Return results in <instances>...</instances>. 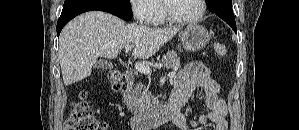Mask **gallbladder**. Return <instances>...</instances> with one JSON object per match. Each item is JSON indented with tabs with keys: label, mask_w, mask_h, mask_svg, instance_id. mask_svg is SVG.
I'll use <instances>...</instances> for the list:
<instances>
[{
	"label": "gallbladder",
	"mask_w": 299,
	"mask_h": 130,
	"mask_svg": "<svg viewBox=\"0 0 299 130\" xmlns=\"http://www.w3.org/2000/svg\"><path fill=\"white\" fill-rule=\"evenodd\" d=\"M94 68L96 69H111L113 68V64H111L110 62L108 61H105V60H98L94 66Z\"/></svg>",
	"instance_id": "1"
}]
</instances>
